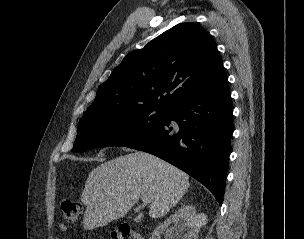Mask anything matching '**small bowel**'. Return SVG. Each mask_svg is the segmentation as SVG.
I'll return each instance as SVG.
<instances>
[{
	"mask_svg": "<svg viewBox=\"0 0 304 239\" xmlns=\"http://www.w3.org/2000/svg\"><path fill=\"white\" fill-rule=\"evenodd\" d=\"M58 229H59L60 232L64 233V232L67 231V226L64 223H60L58 225ZM55 239H59V238H55Z\"/></svg>",
	"mask_w": 304,
	"mask_h": 239,
	"instance_id": "obj_1",
	"label": "small bowel"
}]
</instances>
